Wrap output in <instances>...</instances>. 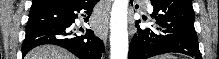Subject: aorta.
Wrapping results in <instances>:
<instances>
[{"instance_id":"1","label":"aorta","mask_w":219,"mask_h":59,"mask_svg":"<svg viewBox=\"0 0 219 59\" xmlns=\"http://www.w3.org/2000/svg\"><path fill=\"white\" fill-rule=\"evenodd\" d=\"M128 0H114L110 18V59H127Z\"/></svg>"}]
</instances>
